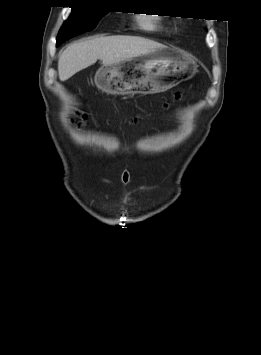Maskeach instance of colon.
Returning <instances> with one entry per match:
<instances>
[{"instance_id":"colon-1","label":"colon","mask_w":261,"mask_h":355,"mask_svg":"<svg viewBox=\"0 0 261 355\" xmlns=\"http://www.w3.org/2000/svg\"><path fill=\"white\" fill-rule=\"evenodd\" d=\"M174 98H175L176 100L181 99V94H180V93H176L175 96H174ZM85 119H86L85 115H80V120H81V121H84Z\"/></svg>"}]
</instances>
